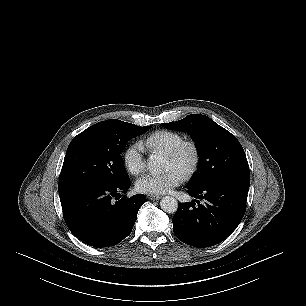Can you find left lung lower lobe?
<instances>
[{
	"label": "left lung lower lobe",
	"mask_w": 306,
	"mask_h": 306,
	"mask_svg": "<svg viewBox=\"0 0 306 306\" xmlns=\"http://www.w3.org/2000/svg\"><path fill=\"white\" fill-rule=\"evenodd\" d=\"M250 180L222 179L188 188V194L204 199L181 203L172 219L173 231L182 242L199 248L216 245L238 226L246 210ZM196 205V206H195Z\"/></svg>",
	"instance_id": "obj_1"
}]
</instances>
